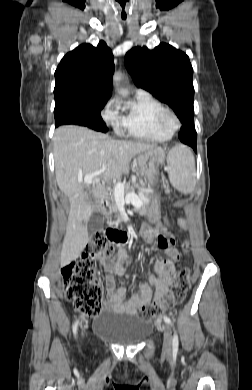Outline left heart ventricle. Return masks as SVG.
Here are the masks:
<instances>
[{
	"label": "left heart ventricle",
	"instance_id": "obj_1",
	"mask_svg": "<svg viewBox=\"0 0 252 390\" xmlns=\"http://www.w3.org/2000/svg\"><path fill=\"white\" fill-rule=\"evenodd\" d=\"M167 124L168 126H172L174 124V121L171 117L167 118Z\"/></svg>",
	"mask_w": 252,
	"mask_h": 390
}]
</instances>
